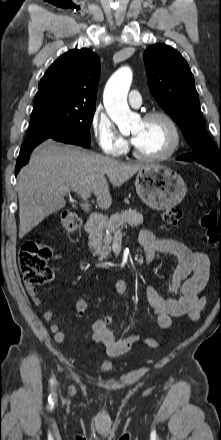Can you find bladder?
Wrapping results in <instances>:
<instances>
[{
  "label": "bladder",
  "instance_id": "bladder-1",
  "mask_svg": "<svg viewBox=\"0 0 221 440\" xmlns=\"http://www.w3.org/2000/svg\"><path fill=\"white\" fill-rule=\"evenodd\" d=\"M114 368L113 363L108 362V361H104L102 363H100L99 365V369L103 372H109Z\"/></svg>",
  "mask_w": 221,
  "mask_h": 440
}]
</instances>
